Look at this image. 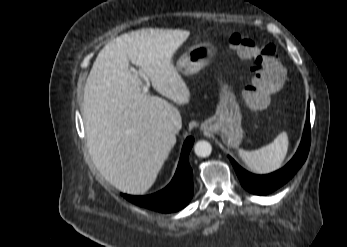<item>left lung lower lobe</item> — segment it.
Instances as JSON below:
<instances>
[{"mask_svg": "<svg viewBox=\"0 0 347 247\" xmlns=\"http://www.w3.org/2000/svg\"><path fill=\"white\" fill-rule=\"evenodd\" d=\"M310 147V120L309 104L307 119L301 144L294 157L282 169L268 175H254L241 168L231 157H229L241 185L249 192L256 195L269 194L286 182H288L305 162Z\"/></svg>", "mask_w": 347, "mask_h": 247, "instance_id": "0a47b994", "label": "left lung lower lobe"}]
</instances>
